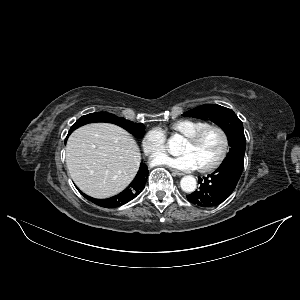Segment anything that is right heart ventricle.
Wrapping results in <instances>:
<instances>
[{
	"mask_svg": "<svg viewBox=\"0 0 300 300\" xmlns=\"http://www.w3.org/2000/svg\"><path fill=\"white\" fill-rule=\"evenodd\" d=\"M208 122L204 120L196 119H180L172 123L170 129L173 133L181 135L183 137H188L199 129L207 125Z\"/></svg>",
	"mask_w": 300,
	"mask_h": 300,
	"instance_id": "e07e8e85",
	"label": "right heart ventricle"
}]
</instances>
